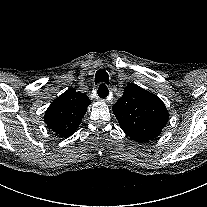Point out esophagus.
<instances>
[{
  "label": "esophagus",
  "mask_w": 207,
  "mask_h": 207,
  "mask_svg": "<svg viewBox=\"0 0 207 207\" xmlns=\"http://www.w3.org/2000/svg\"><path fill=\"white\" fill-rule=\"evenodd\" d=\"M94 96L96 99H98L100 102L105 103L109 100V89L106 85L101 84L97 88L94 89Z\"/></svg>",
  "instance_id": "esophagus-1"
}]
</instances>
